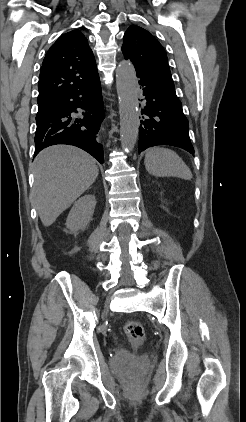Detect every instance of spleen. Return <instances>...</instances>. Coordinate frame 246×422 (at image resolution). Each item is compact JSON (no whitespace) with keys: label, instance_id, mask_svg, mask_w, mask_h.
Returning a JSON list of instances; mask_svg holds the SVG:
<instances>
[{"label":"spleen","instance_id":"1","mask_svg":"<svg viewBox=\"0 0 246 422\" xmlns=\"http://www.w3.org/2000/svg\"><path fill=\"white\" fill-rule=\"evenodd\" d=\"M146 170L157 177L175 176L185 180L192 179L189 167L173 150L153 147L146 152L144 160Z\"/></svg>","mask_w":246,"mask_h":422}]
</instances>
